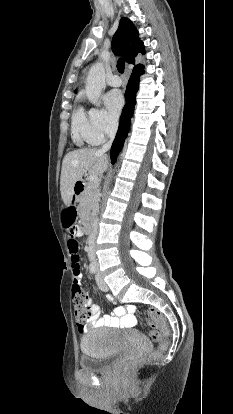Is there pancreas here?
Listing matches in <instances>:
<instances>
[{
    "instance_id": "1",
    "label": "pancreas",
    "mask_w": 233,
    "mask_h": 414,
    "mask_svg": "<svg viewBox=\"0 0 233 414\" xmlns=\"http://www.w3.org/2000/svg\"><path fill=\"white\" fill-rule=\"evenodd\" d=\"M79 216L80 218L88 217L91 211L96 208L98 204V185L92 184L90 181L86 183L83 194L78 199Z\"/></svg>"
}]
</instances>
